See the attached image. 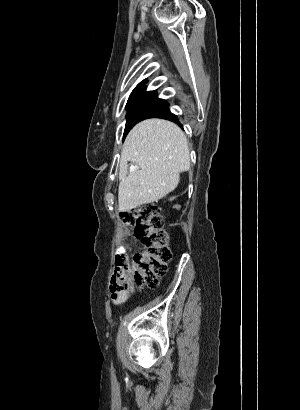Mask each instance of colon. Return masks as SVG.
Instances as JSON below:
<instances>
[{
    "label": "colon",
    "mask_w": 300,
    "mask_h": 410,
    "mask_svg": "<svg viewBox=\"0 0 300 410\" xmlns=\"http://www.w3.org/2000/svg\"><path fill=\"white\" fill-rule=\"evenodd\" d=\"M121 218L128 228L133 229L144 251L116 259L111 289L126 292L133 285L156 287L172 259L160 207L154 203L145 204L122 213Z\"/></svg>",
    "instance_id": "5ec220e1"
}]
</instances>
